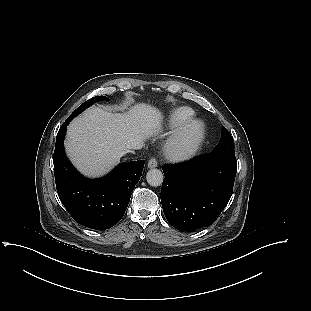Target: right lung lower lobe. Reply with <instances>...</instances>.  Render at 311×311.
<instances>
[{
  "label": "right lung lower lobe",
  "mask_w": 311,
  "mask_h": 311,
  "mask_svg": "<svg viewBox=\"0 0 311 311\" xmlns=\"http://www.w3.org/2000/svg\"><path fill=\"white\" fill-rule=\"evenodd\" d=\"M70 120L61 126L56 138L53 162L58 195L77 223L97 230L111 228L123 217L145 161L121 163L101 179L84 178L64 152L63 141Z\"/></svg>",
  "instance_id": "98d812e1"
}]
</instances>
